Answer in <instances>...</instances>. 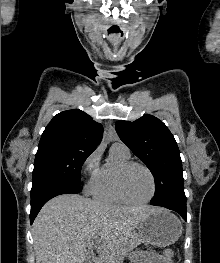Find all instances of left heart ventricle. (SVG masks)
<instances>
[{
    "instance_id": "obj_1",
    "label": "left heart ventricle",
    "mask_w": 220,
    "mask_h": 263,
    "mask_svg": "<svg viewBox=\"0 0 220 263\" xmlns=\"http://www.w3.org/2000/svg\"><path fill=\"white\" fill-rule=\"evenodd\" d=\"M123 183L126 195L132 200H144L151 193V179L141 167L136 166L128 170Z\"/></svg>"
}]
</instances>
